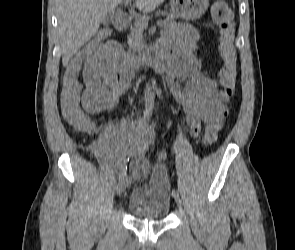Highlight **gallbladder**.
Here are the masks:
<instances>
[{
  "label": "gallbladder",
  "mask_w": 295,
  "mask_h": 250,
  "mask_svg": "<svg viewBox=\"0 0 295 250\" xmlns=\"http://www.w3.org/2000/svg\"><path fill=\"white\" fill-rule=\"evenodd\" d=\"M112 18H113V14L109 12L107 16L104 18V20L102 21L103 25L105 26L109 25L112 21Z\"/></svg>",
  "instance_id": "1"
}]
</instances>
